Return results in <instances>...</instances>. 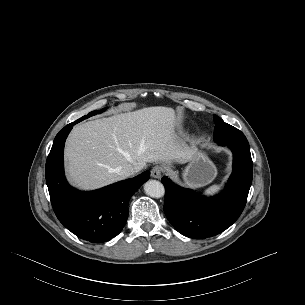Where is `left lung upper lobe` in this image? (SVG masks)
Returning a JSON list of instances; mask_svg holds the SVG:
<instances>
[{
  "label": "left lung upper lobe",
  "instance_id": "1",
  "mask_svg": "<svg viewBox=\"0 0 305 305\" xmlns=\"http://www.w3.org/2000/svg\"><path fill=\"white\" fill-rule=\"evenodd\" d=\"M215 122L214 140L219 145L233 143L243 146H249L244 134L237 128L225 123L217 115H213Z\"/></svg>",
  "mask_w": 305,
  "mask_h": 305
}]
</instances>
